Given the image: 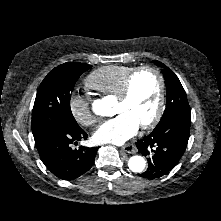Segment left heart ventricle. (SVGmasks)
<instances>
[{
	"instance_id": "obj_1",
	"label": "left heart ventricle",
	"mask_w": 221,
	"mask_h": 221,
	"mask_svg": "<svg viewBox=\"0 0 221 221\" xmlns=\"http://www.w3.org/2000/svg\"><path fill=\"white\" fill-rule=\"evenodd\" d=\"M159 97V81L152 72L140 73L132 84L130 97L120 102L117 100L114 113H127L141 125L148 122L155 114Z\"/></svg>"
}]
</instances>
